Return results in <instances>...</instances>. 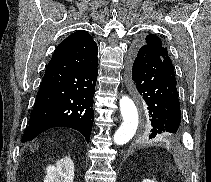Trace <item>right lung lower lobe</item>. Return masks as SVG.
<instances>
[{
  "instance_id": "right-lung-lower-lobe-1",
  "label": "right lung lower lobe",
  "mask_w": 211,
  "mask_h": 182,
  "mask_svg": "<svg viewBox=\"0 0 211 182\" xmlns=\"http://www.w3.org/2000/svg\"><path fill=\"white\" fill-rule=\"evenodd\" d=\"M98 47L87 33L56 48L42 79L22 142L53 127L79 131L89 142L98 75Z\"/></svg>"
}]
</instances>
